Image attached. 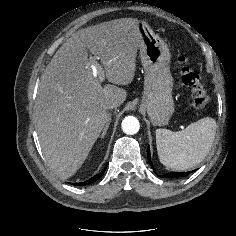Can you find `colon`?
Masks as SVG:
<instances>
[{"mask_svg": "<svg viewBox=\"0 0 236 236\" xmlns=\"http://www.w3.org/2000/svg\"><path fill=\"white\" fill-rule=\"evenodd\" d=\"M179 64L181 66V80L189 88L195 108L198 110L205 109L209 105L211 98L200 74L188 64L185 57L179 59Z\"/></svg>", "mask_w": 236, "mask_h": 236, "instance_id": "obj_1", "label": "colon"}]
</instances>
